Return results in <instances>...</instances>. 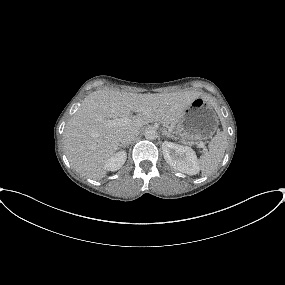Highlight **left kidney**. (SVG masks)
Listing matches in <instances>:
<instances>
[{"mask_svg":"<svg viewBox=\"0 0 285 285\" xmlns=\"http://www.w3.org/2000/svg\"><path fill=\"white\" fill-rule=\"evenodd\" d=\"M162 152L166 162L174 169L188 175H196L199 172L197 156L190 147L164 141Z\"/></svg>","mask_w":285,"mask_h":285,"instance_id":"5707ae66","label":"left kidney"}]
</instances>
